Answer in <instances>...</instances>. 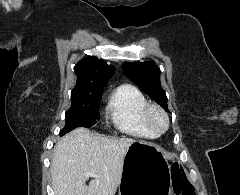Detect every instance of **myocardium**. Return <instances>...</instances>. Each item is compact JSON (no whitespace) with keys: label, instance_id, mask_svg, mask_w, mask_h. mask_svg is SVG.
Instances as JSON below:
<instances>
[{"label":"myocardium","instance_id":"obj_1","mask_svg":"<svg viewBox=\"0 0 240 195\" xmlns=\"http://www.w3.org/2000/svg\"><path fill=\"white\" fill-rule=\"evenodd\" d=\"M155 117L161 119V125L155 123ZM146 125L157 134L164 133L169 127V118L164 109L156 104H148L143 114Z\"/></svg>","mask_w":240,"mask_h":195}]
</instances>
